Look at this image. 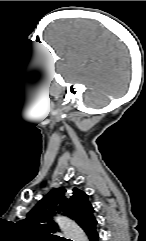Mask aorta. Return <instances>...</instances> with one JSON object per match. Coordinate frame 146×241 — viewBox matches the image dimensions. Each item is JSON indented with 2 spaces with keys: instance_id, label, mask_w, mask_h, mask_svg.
<instances>
[{
  "instance_id": "aorta-1",
  "label": "aorta",
  "mask_w": 146,
  "mask_h": 241,
  "mask_svg": "<svg viewBox=\"0 0 146 241\" xmlns=\"http://www.w3.org/2000/svg\"><path fill=\"white\" fill-rule=\"evenodd\" d=\"M56 222L68 239L73 241H88L83 230L69 218L59 216L56 218Z\"/></svg>"
}]
</instances>
